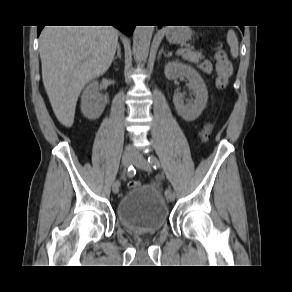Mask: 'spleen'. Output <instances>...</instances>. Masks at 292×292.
I'll return each instance as SVG.
<instances>
[{
	"mask_svg": "<svg viewBox=\"0 0 292 292\" xmlns=\"http://www.w3.org/2000/svg\"><path fill=\"white\" fill-rule=\"evenodd\" d=\"M227 43L230 46L231 55L233 58L238 56V40L234 31L230 30L227 34Z\"/></svg>",
	"mask_w": 292,
	"mask_h": 292,
	"instance_id": "1",
	"label": "spleen"
}]
</instances>
